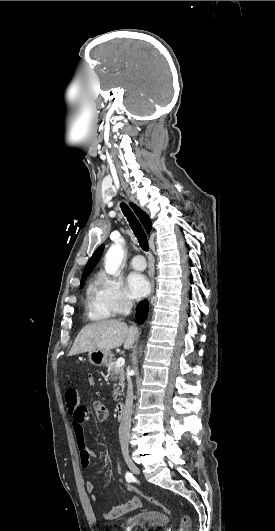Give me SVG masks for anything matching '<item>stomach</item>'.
Instances as JSON below:
<instances>
[{
    "mask_svg": "<svg viewBox=\"0 0 275 531\" xmlns=\"http://www.w3.org/2000/svg\"><path fill=\"white\" fill-rule=\"evenodd\" d=\"M88 359L96 367H107L112 361V353L106 349H93V351H89Z\"/></svg>",
    "mask_w": 275,
    "mask_h": 531,
    "instance_id": "1",
    "label": "stomach"
}]
</instances>
